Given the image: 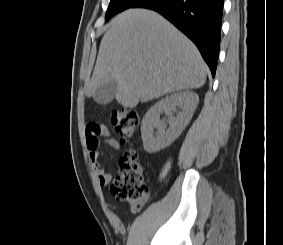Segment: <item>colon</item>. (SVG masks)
<instances>
[{
  "mask_svg": "<svg viewBox=\"0 0 283 245\" xmlns=\"http://www.w3.org/2000/svg\"><path fill=\"white\" fill-rule=\"evenodd\" d=\"M111 123L114 130L122 137V142L130 140L138 127V114L128 108L113 111ZM120 172L111 183V193L126 202L133 211H139L148 201L150 190L143 178L142 166L134 149H127L119 160Z\"/></svg>",
  "mask_w": 283,
  "mask_h": 245,
  "instance_id": "5ec220e1",
  "label": "colon"
}]
</instances>
